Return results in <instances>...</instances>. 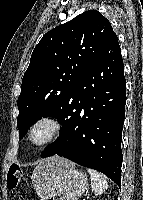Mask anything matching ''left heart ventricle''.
I'll use <instances>...</instances> for the list:
<instances>
[{"instance_id":"b2bd125f","label":"left heart ventricle","mask_w":143,"mask_h":200,"mask_svg":"<svg viewBox=\"0 0 143 200\" xmlns=\"http://www.w3.org/2000/svg\"><path fill=\"white\" fill-rule=\"evenodd\" d=\"M48 129L47 127L43 126L38 128L34 133V140L40 141L47 135Z\"/></svg>"}]
</instances>
